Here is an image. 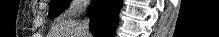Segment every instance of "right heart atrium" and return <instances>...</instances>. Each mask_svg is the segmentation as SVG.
<instances>
[{
    "label": "right heart atrium",
    "mask_w": 219,
    "mask_h": 37,
    "mask_svg": "<svg viewBox=\"0 0 219 37\" xmlns=\"http://www.w3.org/2000/svg\"><path fill=\"white\" fill-rule=\"evenodd\" d=\"M85 4H86L85 1H81V0H74V1L68 2L67 7H66V15L73 16L75 14H78L79 12L82 11Z\"/></svg>",
    "instance_id": "obj_1"
}]
</instances>
